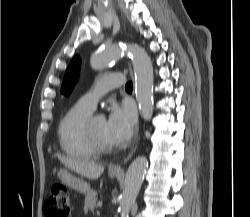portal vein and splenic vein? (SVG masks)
I'll use <instances>...</instances> for the list:
<instances>
[{
  "label": "portal vein and splenic vein",
  "instance_id": "1",
  "mask_svg": "<svg viewBox=\"0 0 250 217\" xmlns=\"http://www.w3.org/2000/svg\"><path fill=\"white\" fill-rule=\"evenodd\" d=\"M97 206H98V207H102V201H99V202L97 203Z\"/></svg>",
  "mask_w": 250,
  "mask_h": 217
}]
</instances>
